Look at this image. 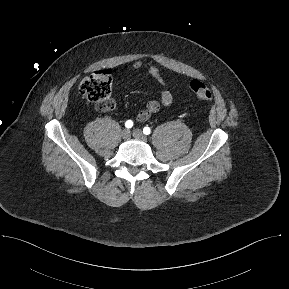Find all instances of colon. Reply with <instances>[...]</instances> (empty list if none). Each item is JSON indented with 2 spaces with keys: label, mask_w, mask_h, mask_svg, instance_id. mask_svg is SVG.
<instances>
[{
  "label": "colon",
  "mask_w": 289,
  "mask_h": 289,
  "mask_svg": "<svg viewBox=\"0 0 289 289\" xmlns=\"http://www.w3.org/2000/svg\"><path fill=\"white\" fill-rule=\"evenodd\" d=\"M110 71H100L85 77L79 86L82 96L91 102L98 111H111L115 107V102L111 99ZM191 91L202 100L210 101L213 99L212 91L204 83L193 80L190 83Z\"/></svg>",
  "instance_id": "colon-1"
}]
</instances>
